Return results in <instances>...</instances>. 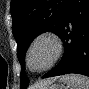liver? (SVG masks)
Masks as SVG:
<instances>
[{
	"label": "liver",
	"mask_w": 89,
	"mask_h": 89,
	"mask_svg": "<svg viewBox=\"0 0 89 89\" xmlns=\"http://www.w3.org/2000/svg\"><path fill=\"white\" fill-rule=\"evenodd\" d=\"M55 80H56V78L47 79L46 81H44L43 83H41V85L35 86L36 88H32V89H48L50 87V85Z\"/></svg>",
	"instance_id": "obj_1"
}]
</instances>
